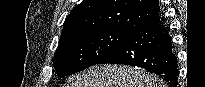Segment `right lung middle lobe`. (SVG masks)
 <instances>
[{
	"label": "right lung middle lobe",
	"mask_w": 205,
	"mask_h": 87,
	"mask_svg": "<svg viewBox=\"0 0 205 87\" xmlns=\"http://www.w3.org/2000/svg\"><path fill=\"white\" fill-rule=\"evenodd\" d=\"M131 31L102 29L88 31L59 42L54 68L61 78L97 64L122 44Z\"/></svg>",
	"instance_id": "dd1d6c3e"
}]
</instances>
